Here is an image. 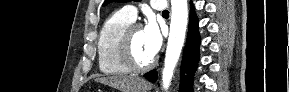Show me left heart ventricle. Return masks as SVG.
Segmentation results:
<instances>
[{"label":"left heart ventricle","mask_w":289,"mask_h":92,"mask_svg":"<svg viewBox=\"0 0 289 92\" xmlns=\"http://www.w3.org/2000/svg\"><path fill=\"white\" fill-rule=\"evenodd\" d=\"M132 50L135 59L141 64L148 63L154 57L150 54L146 47L142 28L137 29L133 34Z\"/></svg>","instance_id":"1"}]
</instances>
